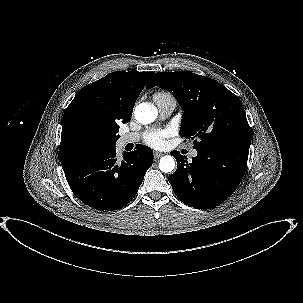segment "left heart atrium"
Returning <instances> with one entry per match:
<instances>
[{
  "label": "left heart atrium",
  "instance_id": "1",
  "mask_svg": "<svg viewBox=\"0 0 303 303\" xmlns=\"http://www.w3.org/2000/svg\"><path fill=\"white\" fill-rule=\"evenodd\" d=\"M172 134L171 129H152L146 133L144 141L152 148H162L166 145V139Z\"/></svg>",
  "mask_w": 303,
  "mask_h": 303
}]
</instances>
